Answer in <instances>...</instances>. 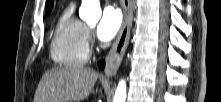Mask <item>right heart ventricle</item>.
I'll list each match as a JSON object with an SVG mask.
<instances>
[{
  "mask_svg": "<svg viewBox=\"0 0 221 102\" xmlns=\"http://www.w3.org/2000/svg\"><path fill=\"white\" fill-rule=\"evenodd\" d=\"M86 25L74 15L73 5L67 6L58 17L51 36V57L65 67L85 64L89 57Z\"/></svg>",
  "mask_w": 221,
  "mask_h": 102,
  "instance_id": "obj_1",
  "label": "right heart ventricle"
}]
</instances>
